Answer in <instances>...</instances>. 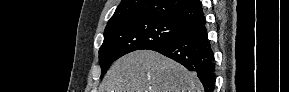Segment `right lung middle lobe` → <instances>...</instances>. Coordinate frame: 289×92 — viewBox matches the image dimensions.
I'll return each mask as SVG.
<instances>
[{
  "instance_id": "dd1d6c3e",
  "label": "right lung middle lobe",
  "mask_w": 289,
  "mask_h": 92,
  "mask_svg": "<svg viewBox=\"0 0 289 92\" xmlns=\"http://www.w3.org/2000/svg\"><path fill=\"white\" fill-rule=\"evenodd\" d=\"M187 25L158 18H130L106 26L99 50L101 77L119 57L141 49H150L182 33Z\"/></svg>"
}]
</instances>
